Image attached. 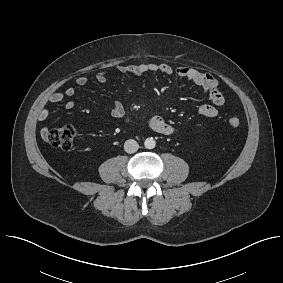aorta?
I'll return each instance as SVG.
<instances>
[{"label": "aorta", "instance_id": "aorta-1", "mask_svg": "<svg viewBox=\"0 0 283 283\" xmlns=\"http://www.w3.org/2000/svg\"><path fill=\"white\" fill-rule=\"evenodd\" d=\"M156 145V142L153 138H147L144 142V146L147 149H153Z\"/></svg>", "mask_w": 283, "mask_h": 283}]
</instances>
